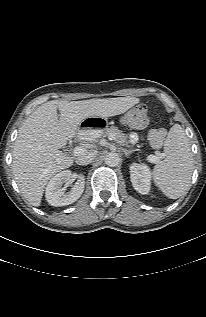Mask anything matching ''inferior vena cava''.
<instances>
[{"instance_id":"inferior-vena-cava-1","label":"inferior vena cava","mask_w":206,"mask_h":317,"mask_svg":"<svg viewBox=\"0 0 206 317\" xmlns=\"http://www.w3.org/2000/svg\"><path fill=\"white\" fill-rule=\"evenodd\" d=\"M96 155H97L96 151L82 153L78 155V157L76 158V163L78 165H87L95 159Z\"/></svg>"}]
</instances>
